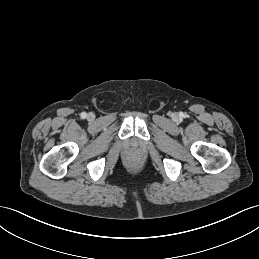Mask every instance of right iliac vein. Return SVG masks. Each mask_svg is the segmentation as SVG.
<instances>
[{"label": "right iliac vein", "instance_id": "1", "mask_svg": "<svg viewBox=\"0 0 259 259\" xmlns=\"http://www.w3.org/2000/svg\"><path fill=\"white\" fill-rule=\"evenodd\" d=\"M88 118H89V119H93V118H94V115H93L92 113H89V114H88Z\"/></svg>", "mask_w": 259, "mask_h": 259}]
</instances>
